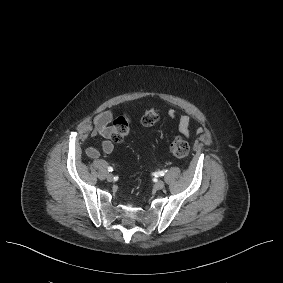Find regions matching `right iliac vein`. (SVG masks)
<instances>
[{
	"label": "right iliac vein",
	"instance_id": "63e3f726",
	"mask_svg": "<svg viewBox=\"0 0 283 283\" xmlns=\"http://www.w3.org/2000/svg\"><path fill=\"white\" fill-rule=\"evenodd\" d=\"M106 179H107L109 182L113 181V179H114L113 174H111V173L107 174Z\"/></svg>",
	"mask_w": 283,
	"mask_h": 283
}]
</instances>
